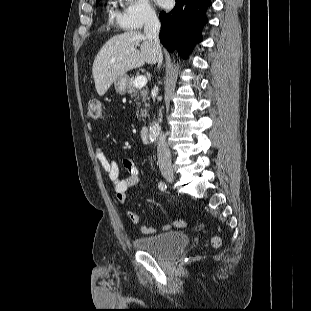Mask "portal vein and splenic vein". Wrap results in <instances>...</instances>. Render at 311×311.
Here are the masks:
<instances>
[{
    "label": "portal vein and splenic vein",
    "mask_w": 311,
    "mask_h": 311,
    "mask_svg": "<svg viewBox=\"0 0 311 311\" xmlns=\"http://www.w3.org/2000/svg\"><path fill=\"white\" fill-rule=\"evenodd\" d=\"M147 84V78L145 76H137L134 80V85L137 88H142Z\"/></svg>",
    "instance_id": "18ae733b"
}]
</instances>
